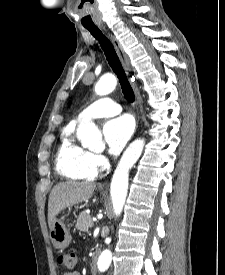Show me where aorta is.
<instances>
[{
  "mask_svg": "<svg viewBox=\"0 0 225 275\" xmlns=\"http://www.w3.org/2000/svg\"><path fill=\"white\" fill-rule=\"evenodd\" d=\"M116 85V77L111 73H107L103 75L95 85V93L100 96L107 95L115 89ZM77 137L82 145L90 150H95L103 145L101 133L93 122H84L80 124L77 129ZM143 147V139H137L132 142L121 157L113 174L110 194L116 216L121 214L125 204L128 190L129 170L141 156ZM111 260V251L107 249L104 250L98 259V270L100 272H105L109 268Z\"/></svg>",
  "mask_w": 225,
  "mask_h": 275,
  "instance_id": "1",
  "label": "aorta"
}]
</instances>
